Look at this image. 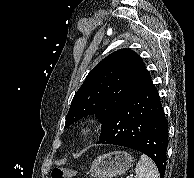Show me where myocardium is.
I'll use <instances>...</instances> for the list:
<instances>
[{"label":"myocardium","instance_id":"1","mask_svg":"<svg viewBox=\"0 0 194 178\" xmlns=\"http://www.w3.org/2000/svg\"><path fill=\"white\" fill-rule=\"evenodd\" d=\"M94 134H95V127L91 123L83 124L78 130V135L83 140L91 138Z\"/></svg>","mask_w":194,"mask_h":178}]
</instances>
